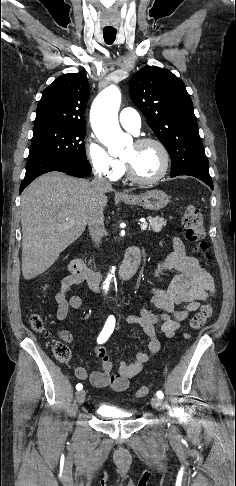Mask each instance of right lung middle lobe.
Wrapping results in <instances>:
<instances>
[{
	"mask_svg": "<svg viewBox=\"0 0 236 486\" xmlns=\"http://www.w3.org/2000/svg\"><path fill=\"white\" fill-rule=\"evenodd\" d=\"M85 132V128L34 127L28 159L53 157L87 161Z\"/></svg>",
	"mask_w": 236,
	"mask_h": 486,
	"instance_id": "1",
	"label": "right lung middle lobe"
}]
</instances>
